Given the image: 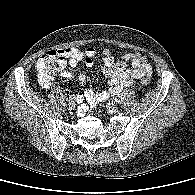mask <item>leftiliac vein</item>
<instances>
[{"instance_id":"1","label":"left iliac vein","mask_w":195,"mask_h":195,"mask_svg":"<svg viewBox=\"0 0 195 195\" xmlns=\"http://www.w3.org/2000/svg\"><path fill=\"white\" fill-rule=\"evenodd\" d=\"M106 107H107V110L112 112V113H115L118 110V106L116 104H114V103H108L106 105Z\"/></svg>"}]
</instances>
